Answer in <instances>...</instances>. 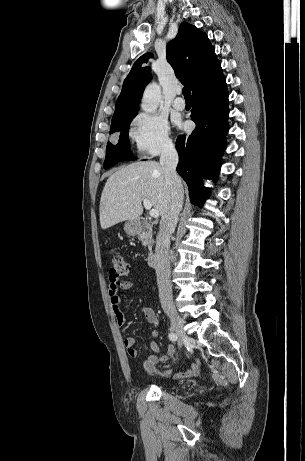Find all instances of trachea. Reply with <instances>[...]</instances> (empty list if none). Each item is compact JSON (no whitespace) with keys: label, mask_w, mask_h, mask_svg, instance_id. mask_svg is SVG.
<instances>
[{"label":"trachea","mask_w":305,"mask_h":461,"mask_svg":"<svg viewBox=\"0 0 305 461\" xmlns=\"http://www.w3.org/2000/svg\"><path fill=\"white\" fill-rule=\"evenodd\" d=\"M183 95L185 99H192L191 93H190V88L188 86H185L182 90Z\"/></svg>","instance_id":"1"}]
</instances>
